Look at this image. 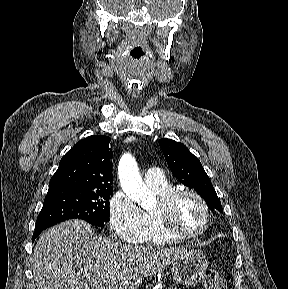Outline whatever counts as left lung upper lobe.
<instances>
[{"mask_svg": "<svg viewBox=\"0 0 288 289\" xmlns=\"http://www.w3.org/2000/svg\"><path fill=\"white\" fill-rule=\"evenodd\" d=\"M159 144L172 173L178 180L185 186L195 189L211 210L223 212L221 202L200 160L182 143L161 139Z\"/></svg>", "mask_w": 288, "mask_h": 289, "instance_id": "left-lung-upper-lobe-1", "label": "left lung upper lobe"}]
</instances>
